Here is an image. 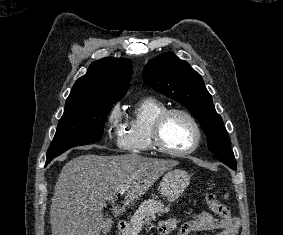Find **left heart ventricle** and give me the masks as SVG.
Returning <instances> with one entry per match:
<instances>
[{
  "label": "left heart ventricle",
  "mask_w": 283,
  "mask_h": 235,
  "mask_svg": "<svg viewBox=\"0 0 283 235\" xmlns=\"http://www.w3.org/2000/svg\"><path fill=\"white\" fill-rule=\"evenodd\" d=\"M162 139L164 144L172 150H185L193 144L195 130L186 117L174 114L163 125Z\"/></svg>",
  "instance_id": "b2bd125f"
}]
</instances>
